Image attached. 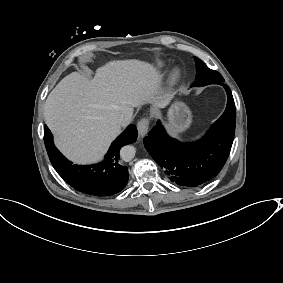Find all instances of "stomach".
<instances>
[{"mask_svg":"<svg viewBox=\"0 0 283 283\" xmlns=\"http://www.w3.org/2000/svg\"><path fill=\"white\" fill-rule=\"evenodd\" d=\"M173 125L172 132L176 133L179 129L185 128L190 121V113L182 104H175L169 112Z\"/></svg>","mask_w":283,"mask_h":283,"instance_id":"obj_1","label":"stomach"}]
</instances>
